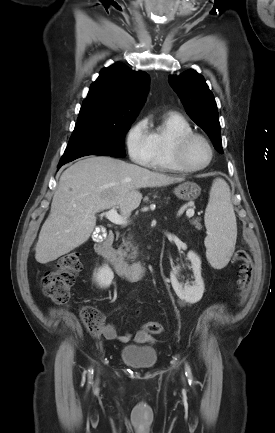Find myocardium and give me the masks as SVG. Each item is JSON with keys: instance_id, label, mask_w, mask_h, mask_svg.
<instances>
[{"instance_id": "1", "label": "myocardium", "mask_w": 275, "mask_h": 433, "mask_svg": "<svg viewBox=\"0 0 275 433\" xmlns=\"http://www.w3.org/2000/svg\"><path fill=\"white\" fill-rule=\"evenodd\" d=\"M196 139L202 140L206 144V146L208 147L209 153H210L208 161L205 164L199 165V166L191 165L186 160L187 147L192 141H194ZM213 159H214L213 145H212L211 141L205 135H203L201 133L193 131V132L184 134V135L180 136L179 138H177L175 143H174L173 160H174L176 166L182 171L196 172V171L203 170V169L207 168L212 163Z\"/></svg>"}]
</instances>
